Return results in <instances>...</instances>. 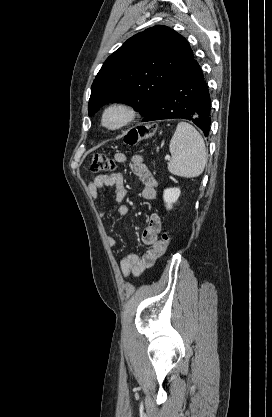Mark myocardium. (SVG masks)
<instances>
[{"label": "myocardium", "mask_w": 272, "mask_h": 417, "mask_svg": "<svg viewBox=\"0 0 272 417\" xmlns=\"http://www.w3.org/2000/svg\"><path fill=\"white\" fill-rule=\"evenodd\" d=\"M111 115L118 116V119L113 123L109 121ZM136 117V108L128 101L119 100L104 108L101 114V125L108 131H119L130 125Z\"/></svg>", "instance_id": "1"}]
</instances>
